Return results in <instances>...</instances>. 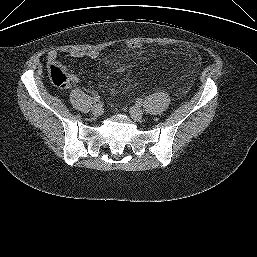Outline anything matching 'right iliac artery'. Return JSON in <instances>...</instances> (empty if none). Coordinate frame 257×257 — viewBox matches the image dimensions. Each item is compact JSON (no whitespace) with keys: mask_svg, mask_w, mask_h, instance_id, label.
<instances>
[{"mask_svg":"<svg viewBox=\"0 0 257 257\" xmlns=\"http://www.w3.org/2000/svg\"><path fill=\"white\" fill-rule=\"evenodd\" d=\"M93 101L96 103V102H99L100 101V97L99 96H94L93 97Z\"/></svg>","mask_w":257,"mask_h":257,"instance_id":"obj_1","label":"right iliac artery"}]
</instances>
